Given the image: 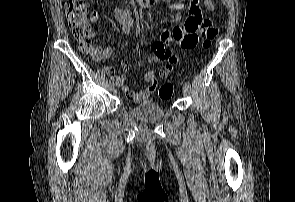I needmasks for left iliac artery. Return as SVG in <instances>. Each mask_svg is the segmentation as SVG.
<instances>
[{
    "mask_svg": "<svg viewBox=\"0 0 295 202\" xmlns=\"http://www.w3.org/2000/svg\"><path fill=\"white\" fill-rule=\"evenodd\" d=\"M185 86L191 87L190 82H189V81H186V82H185Z\"/></svg>",
    "mask_w": 295,
    "mask_h": 202,
    "instance_id": "obj_1",
    "label": "left iliac artery"
}]
</instances>
